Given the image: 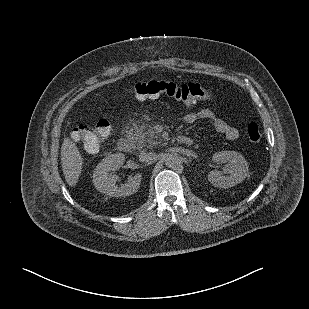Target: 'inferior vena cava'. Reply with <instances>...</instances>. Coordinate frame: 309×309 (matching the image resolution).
Wrapping results in <instances>:
<instances>
[{"label": "inferior vena cava", "mask_w": 309, "mask_h": 309, "mask_svg": "<svg viewBox=\"0 0 309 309\" xmlns=\"http://www.w3.org/2000/svg\"><path fill=\"white\" fill-rule=\"evenodd\" d=\"M156 158V154L152 152H142L139 155V161L142 163H148Z\"/></svg>", "instance_id": "obj_1"}]
</instances>
